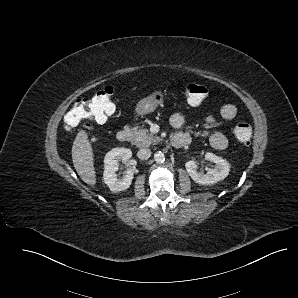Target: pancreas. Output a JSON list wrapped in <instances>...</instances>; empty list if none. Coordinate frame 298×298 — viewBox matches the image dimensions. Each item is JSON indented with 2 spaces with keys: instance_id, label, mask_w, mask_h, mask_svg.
<instances>
[{
  "instance_id": "pancreas-1",
  "label": "pancreas",
  "mask_w": 298,
  "mask_h": 298,
  "mask_svg": "<svg viewBox=\"0 0 298 298\" xmlns=\"http://www.w3.org/2000/svg\"><path fill=\"white\" fill-rule=\"evenodd\" d=\"M130 130L133 143L137 146L149 147L162 141V137L148 133V129L145 126H133Z\"/></svg>"
}]
</instances>
